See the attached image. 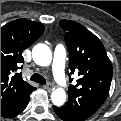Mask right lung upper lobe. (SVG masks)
Here are the masks:
<instances>
[{
	"label": "right lung upper lobe",
	"mask_w": 121,
	"mask_h": 121,
	"mask_svg": "<svg viewBox=\"0 0 121 121\" xmlns=\"http://www.w3.org/2000/svg\"><path fill=\"white\" fill-rule=\"evenodd\" d=\"M44 32L39 22L17 19L1 27V112L25 98L35 88L13 74L24 62L22 51Z\"/></svg>",
	"instance_id": "obj_1"
}]
</instances>
